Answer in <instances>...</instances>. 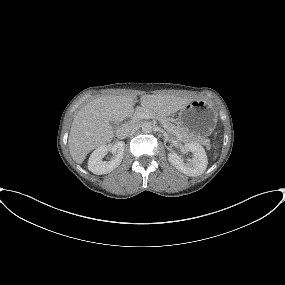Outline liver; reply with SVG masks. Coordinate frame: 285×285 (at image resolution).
I'll use <instances>...</instances> for the list:
<instances>
[{"label": "liver", "instance_id": "liver-1", "mask_svg": "<svg viewBox=\"0 0 285 285\" xmlns=\"http://www.w3.org/2000/svg\"><path fill=\"white\" fill-rule=\"evenodd\" d=\"M193 101L174 95H142L141 106L162 116H170ZM134 94L100 96L82 107L75 115L68 145L73 160L82 164L93 149L110 142L114 130L110 122H121L133 112Z\"/></svg>", "mask_w": 285, "mask_h": 285}]
</instances>
